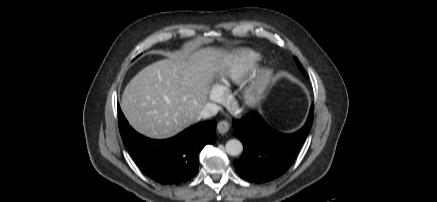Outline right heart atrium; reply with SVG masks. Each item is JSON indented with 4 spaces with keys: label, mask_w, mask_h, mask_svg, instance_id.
<instances>
[{
    "label": "right heart atrium",
    "mask_w": 437,
    "mask_h": 202,
    "mask_svg": "<svg viewBox=\"0 0 437 202\" xmlns=\"http://www.w3.org/2000/svg\"><path fill=\"white\" fill-rule=\"evenodd\" d=\"M211 100L221 102L224 98L223 92L220 88H213L210 92Z\"/></svg>",
    "instance_id": "d8ad5b80"
}]
</instances>
